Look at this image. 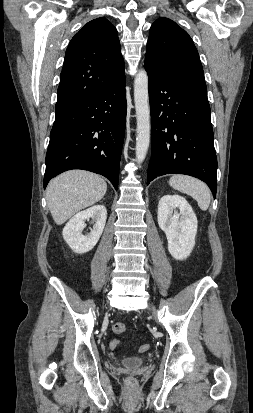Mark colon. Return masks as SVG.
<instances>
[{
	"instance_id": "5ec220e1",
	"label": "colon",
	"mask_w": 253,
	"mask_h": 413,
	"mask_svg": "<svg viewBox=\"0 0 253 413\" xmlns=\"http://www.w3.org/2000/svg\"><path fill=\"white\" fill-rule=\"evenodd\" d=\"M112 329H113L114 333H116V334H122L126 331V327H125L124 323H122V322H115L112 325ZM119 345H120V342L118 340H113L111 342V347L113 349L118 348ZM139 350H140V352H146V351L149 350V345L148 344L141 345ZM126 383H127L128 386L132 387V386L135 385V379L132 378V377H128L126 379Z\"/></svg>"
}]
</instances>
